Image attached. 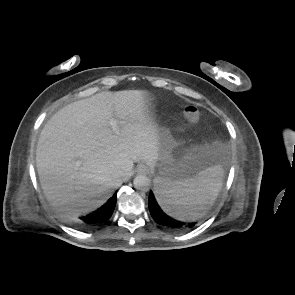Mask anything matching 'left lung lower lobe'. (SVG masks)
<instances>
[{"mask_svg":"<svg viewBox=\"0 0 295 295\" xmlns=\"http://www.w3.org/2000/svg\"><path fill=\"white\" fill-rule=\"evenodd\" d=\"M149 210L153 217V219L160 225H163L167 228L173 229V230H187L190 228H193L195 226V222H182L179 220H176L166 213L163 212L159 204L157 203L154 194L152 191H150L149 194Z\"/></svg>","mask_w":295,"mask_h":295,"instance_id":"1","label":"left lung lower lobe"}]
</instances>
